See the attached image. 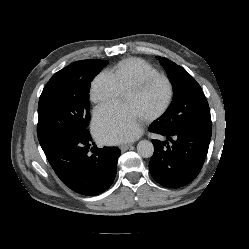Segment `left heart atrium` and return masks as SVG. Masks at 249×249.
<instances>
[{"instance_id":"1","label":"left heart atrium","mask_w":249,"mask_h":249,"mask_svg":"<svg viewBox=\"0 0 249 249\" xmlns=\"http://www.w3.org/2000/svg\"><path fill=\"white\" fill-rule=\"evenodd\" d=\"M140 122L141 118L131 106L112 103L95 110L93 131L101 142L117 144L136 138Z\"/></svg>"}]
</instances>
